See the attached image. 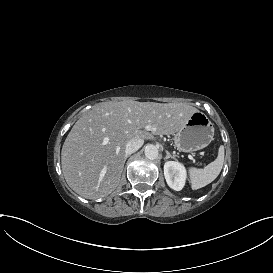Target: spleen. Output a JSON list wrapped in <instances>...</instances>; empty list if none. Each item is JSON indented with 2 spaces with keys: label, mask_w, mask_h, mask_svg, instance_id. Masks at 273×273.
Masks as SVG:
<instances>
[{
  "label": "spleen",
  "mask_w": 273,
  "mask_h": 273,
  "mask_svg": "<svg viewBox=\"0 0 273 273\" xmlns=\"http://www.w3.org/2000/svg\"><path fill=\"white\" fill-rule=\"evenodd\" d=\"M224 161V147L219 149L218 159L208 164L203 170H194L193 176V189L205 187L214 181L219 175Z\"/></svg>",
  "instance_id": "spleen-1"
}]
</instances>
